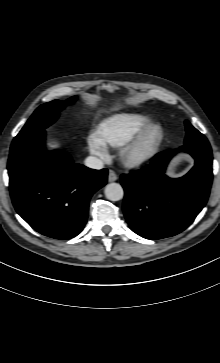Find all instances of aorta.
Wrapping results in <instances>:
<instances>
[{
  "label": "aorta",
  "mask_w": 220,
  "mask_h": 363,
  "mask_svg": "<svg viewBox=\"0 0 220 363\" xmlns=\"http://www.w3.org/2000/svg\"><path fill=\"white\" fill-rule=\"evenodd\" d=\"M104 193L106 198L111 201H119L124 196L123 188L118 183H110L106 185Z\"/></svg>",
  "instance_id": "762f6f07"
}]
</instances>
